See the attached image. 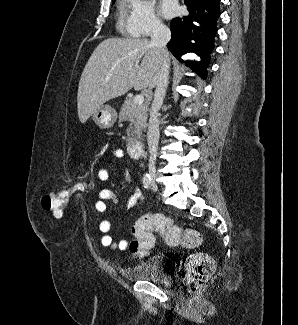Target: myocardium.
<instances>
[{
  "label": "myocardium",
  "instance_id": "f54148a6",
  "mask_svg": "<svg viewBox=\"0 0 298 325\" xmlns=\"http://www.w3.org/2000/svg\"><path fill=\"white\" fill-rule=\"evenodd\" d=\"M164 69H165V68L163 67V68L160 70V72L162 73V72L164 71Z\"/></svg>",
  "mask_w": 298,
  "mask_h": 325
}]
</instances>
